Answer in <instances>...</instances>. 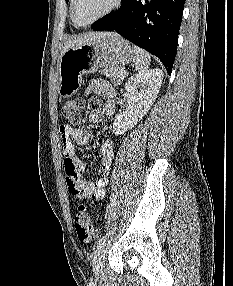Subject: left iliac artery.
Masks as SVG:
<instances>
[{
	"label": "left iliac artery",
	"instance_id": "44dca946",
	"mask_svg": "<svg viewBox=\"0 0 233 286\" xmlns=\"http://www.w3.org/2000/svg\"><path fill=\"white\" fill-rule=\"evenodd\" d=\"M106 235H103L95 244V249L99 250L105 243Z\"/></svg>",
	"mask_w": 233,
	"mask_h": 286
}]
</instances>
